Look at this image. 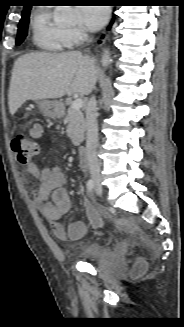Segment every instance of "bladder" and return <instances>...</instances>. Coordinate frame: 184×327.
Returning <instances> with one entry per match:
<instances>
[{
	"mask_svg": "<svg viewBox=\"0 0 184 327\" xmlns=\"http://www.w3.org/2000/svg\"><path fill=\"white\" fill-rule=\"evenodd\" d=\"M79 254L83 260L99 261L102 259H110L114 266L119 269H124L126 266L125 260L115 256L114 251L100 242H93L79 248Z\"/></svg>",
	"mask_w": 184,
	"mask_h": 327,
	"instance_id": "obj_1",
	"label": "bladder"
}]
</instances>
